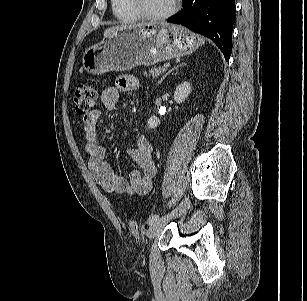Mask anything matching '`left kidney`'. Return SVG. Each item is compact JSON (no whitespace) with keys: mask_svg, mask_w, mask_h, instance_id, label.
<instances>
[{"mask_svg":"<svg viewBox=\"0 0 307 301\" xmlns=\"http://www.w3.org/2000/svg\"><path fill=\"white\" fill-rule=\"evenodd\" d=\"M191 93V84L189 82H182L176 87L174 92V100L180 104L183 103ZM148 128L155 129L160 125V120L156 116H151L147 121Z\"/></svg>","mask_w":307,"mask_h":301,"instance_id":"1","label":"left kidney"}]
</instances>
